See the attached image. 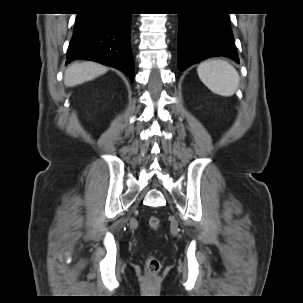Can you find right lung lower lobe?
Masks as SVG:
<instances>
[{
	"label": "right lung lower lobe",
	"mask_w": 303,
	"mask_h": 303,
	"mask_svg": "<svg viewBox=\"0 0 303 303\" xmlns=\"http://www.w3.org/2000/svg\"><path fill=\"white\" fill-rule=\"evenodd\" d=\"M130 22L131 14L111 9L78 14L66 64L76 59L96 61L123 71L133 81Z\"/></svg>",
	"instance_id": "1"
}]
</instances>
